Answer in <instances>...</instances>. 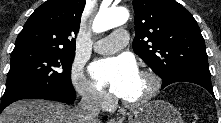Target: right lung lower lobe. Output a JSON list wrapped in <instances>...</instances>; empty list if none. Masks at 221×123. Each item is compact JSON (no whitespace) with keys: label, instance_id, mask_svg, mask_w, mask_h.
Wrapping results in <instances>:
<instances>
[{"label":"right lung lower lobe","instance_id":"obj_1","mask_svg":"<svg viewBox=\"0 0 221 123\" xmlns=\"http://www.w3.org/2000/svg\"><path fill=\"white\" fill-rule=\"evenodd\" d=\"M29 98H40L45 100H55L63 103H73L76 98V92L73 86L63 84L49 87L45 90L37 91L33 86H23L15 89L5 90L0 105V113L9 104Z\"/></svg>","mask_w":221,"mask_h":123}]
</instances>
